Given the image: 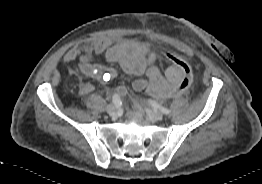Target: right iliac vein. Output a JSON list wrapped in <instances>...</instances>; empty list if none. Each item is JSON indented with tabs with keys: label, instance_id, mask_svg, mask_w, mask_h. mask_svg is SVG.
<instances>
[{
	"label": "right iliac vein",
	"instance_id": "63e3f726",
	"mask_svg": "<svg viewBox=\"0 0 262 184\" xmlns=\"http://www.w3.org/2000/svg\"><path fill=\"white\" fill-rule=\"evenodd\" d=\"M106 111L110 116H114L117 113V109L114 105H108Z\"/></svg>",
	"mask_w": 262,
	"mask_h": 184
}]
</instances>
